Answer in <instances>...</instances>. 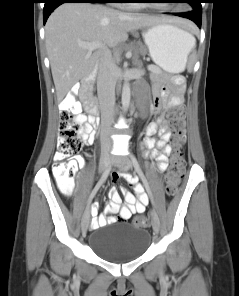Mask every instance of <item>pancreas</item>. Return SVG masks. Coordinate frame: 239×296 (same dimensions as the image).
<instances>
[{"label": "pancreas", "instance_id": "obj_1", "mask_svg": "<svg viewBox=\"0 0 239 296\" xmlns=\"http://www.w3.org/2000/svg\"><path fill=\"white\" fill-rule=\"evenodd\" d=\"M151 67L153 68V71L151 73L152 78L160 77L163 74L162 70L159 67L154 65H152Z\"/></svg>", "mask_w": 239, "mask_h": 296}]
</instances>
